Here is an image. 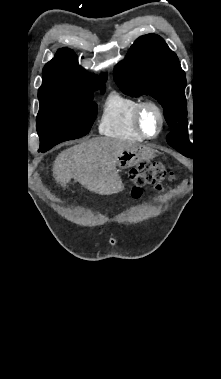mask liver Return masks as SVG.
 I'll use <instances>...</instances> for the list:
<instances>
[{
    "instance_id": "liver-1",
    "label": "liver",
    "mask_w": 221,
    "mask_h": 379,
    "mask_svg": "<svg viewBox=\"0 0 221 379\" xmlns=\"http://www.w3.org/2000/svg\"><path fill=\"white\" fill-rule=\"evenodd\" d=\"M136 144L107 137L93 138L62 151L54 161L53 175L62 187L71 179L100 195L122 189L116 171L119 155Z\"/></svg>"
}]
</instances>
